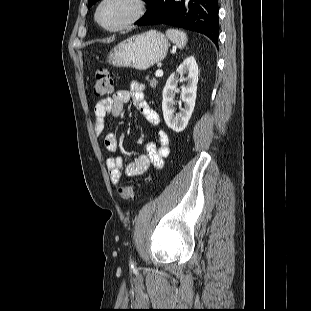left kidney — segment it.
<instances>
[{
  "label": "left kidney",
  "mask_w": 311,
  "mask_h": 311,
  "mask_svg": "<svg viewBox=\"0 0 311 311\" xmlns=\"http://www.w3.org/2000/svg\"><path fill=\"white\" fill-rule=\"evenodd\" d=\"M187 74V85L182 88L181 99L184 108L179 114H174V97L177 91V84L183 75ZM198 83V65L193 56L187 57L177 68L176 73H172L163 89L162 111L166 125L175 132L183 131L192 115L195 107L196 91Z\"/></svg>",
  "instance_id": "1"
}]
</instances>
